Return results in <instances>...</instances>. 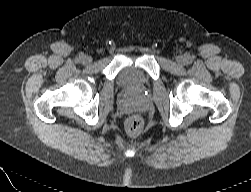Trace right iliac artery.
Masks as SVG:
<instances>
[{
	"label": "right iliac artery",
	"mask_w": 251,
	"mask_h": 192,
	"mask_svg": "<svg viewBox=\"0 0 251 192\" xmlns=\"http://www.w3.org/2000/svg\"><path fill=\"white\" fill-rule=\"evenodd\" d=\"M83 57H84V56H83V55H81V56H80V59H78L77 61L79 62V60H81Z\"/></svg>",
	"instance_id": "right-iliac-artery-1"
}]
</instances>
